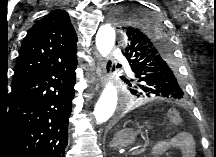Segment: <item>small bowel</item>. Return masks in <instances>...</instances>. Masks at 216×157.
<instances>
[{
    "mask_svg": "<svg viewBox=\"0 0 216 157\" xmlns=\"http://www.w3.org/2000/svg\"><path fill=\"white\" fill-rule=\"evenodd\" d=\"M169 147L180 150L182 157L195 156V144L192 136L187 132L177 133L169 142Z\"/></svg>",
    "mask_w": 216,
    "mask_h": 157,
    "instance_id": "small-bowel-1",
    "label": "small bowel"
}]
</instances>
